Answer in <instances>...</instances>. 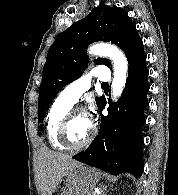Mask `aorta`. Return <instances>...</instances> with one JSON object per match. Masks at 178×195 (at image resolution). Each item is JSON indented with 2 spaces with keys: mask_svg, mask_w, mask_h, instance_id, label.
Returning a JSON list of instances; mask_svg holds the SVG:
<instances>
[{
  "mask_svg": "<svg viewBox=\"0 0 178 195\" xmlns=\"http://www.w3.org/2000/svg\"><path fill=\"white\" fill-rule=\"evenodd\" d=\"M89 54L109 57L112 60L114 75L111 85V95L114 101L117 100L123 92L127 79L128 62L124 53L114 45L98 43L89 48Z\"/></svg>",
  "mask_w": 178,
  "mask_h": 195,
  "instance_id": "obj_1",
  "label": "aorta"
}]
</instances>
